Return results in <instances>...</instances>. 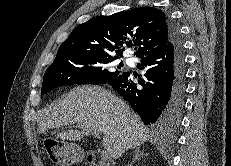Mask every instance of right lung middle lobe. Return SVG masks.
I'll return each instance as SVG.
<instances>
[{
	"instance_id": "1",
	"label": "right lung middle lobe",
	"mask_w": 231,
	"mask_h": 166,
	"mask_svg": "<svg viewBox=\"0 0 231 166\" xmlns=\"http://www.w3.org/2000/svg\"><path fill=\"white\" fill-rule=\"evenodd\" d=\"M117 57L82 54L55 58L43 77L41 95L69 84H104L123 73Z\"/></svg>"
}]
</instances>
